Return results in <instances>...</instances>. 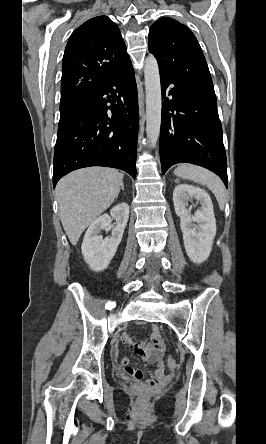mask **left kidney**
<instances>
[{"label":"left kidney","mask_w":266,"mask_h":444,"mask_svg":"<svg viewBox=\"0 0 266 444\" xmlns=\"http://www.w3.org/2000/svg\"><path fill=\"white\" fill-rule=\"evenodd\" d=\"M196 199L201 207L191 215L187 209L189 201ZM173 203L180 226L186 253L193 263L200 264L210 255L216 235V220L209 194L198 187L179 184L173 192Z\"/></svg>","instance_id":"obj_1"}]
</instances>
